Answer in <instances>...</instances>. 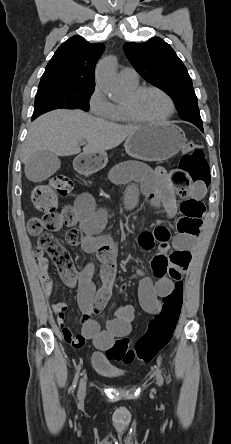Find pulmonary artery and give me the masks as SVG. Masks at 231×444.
I'll list each match as a JSON object with an SVG mask.
<instances>
[{"label": "pulmonary artery", "mask_w": 231, "mask_h": 444, "mask_svg": "<svg viewBox=\"0 0 231 444\" xmlns=\"http://www.w3.org/2000/svg\"><path fill=\"white\" fill-rule=\"evenodd\" d=\"M119 78L123 83H138V74L133 68L125 67L121 69Z\"/></svg>", "instance_id": "obj_1"}]
</instances>
